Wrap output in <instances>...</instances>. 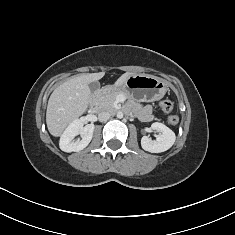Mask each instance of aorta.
<instances>
[{"instance_id":"aorta-1","label":"aorta","mask_w":235,"mask_h":235,"mask_svg":"<svg viewBox=\"0 0 235 235\" xmlns=\"http://www.w3.org/2000/svg\"><path fill=\"white\" fill-rule=\"evenodd\" d=\"M117 118L119 119L123 118V112L121 111L117 112Z\"/></svg>"}]
</instances>
